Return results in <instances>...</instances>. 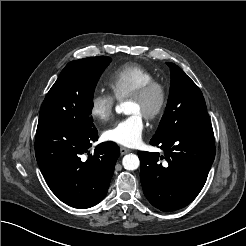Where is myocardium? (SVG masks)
I'll return each mask as SVG.
<instances>
[{
	"instance_id": "obj_1",
	"label": "myocardium",
	"mask_w": 246,
	"mask_h": 246,
	"mask_svg": "<svg viewBox=\"0 0 246 246\" xmlns=\"http://www.w3.org/2000/svg\"><path fill=\"white\" fill-rule=\"evenodd\" d=\"M153 94L157 95V102L153 108L143 114V117L149 121L160 118L166 109L168 93L165 85L160 81L152 80L128 97L129 100L146 103Z\"/></svg>"
}]
</instances>
